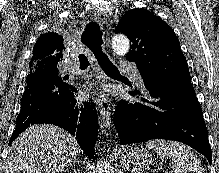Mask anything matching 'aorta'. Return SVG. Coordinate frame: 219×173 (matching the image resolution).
Wrapping results in <instances>:
<instances>
[{
    "mask_svg": "<svg viewBox=\"0 0 219 173\" xmlns=\"http://www.w3.org/2000/svg\"><path fill=\"white\" fill-rule=\"evenodd\" d=\"M111 48L113 52L117 53L118 55H125L128 53L130 48L129 39L123 34H117L111 40ZM96 172L115 173L114 168L105 160L97 161Z\"/></svg>",
    "mask_w": 219,
    "mask_h": 173,
    "instance_id": "aorta-1",
    "label": "aorta"
}]
</instances>
